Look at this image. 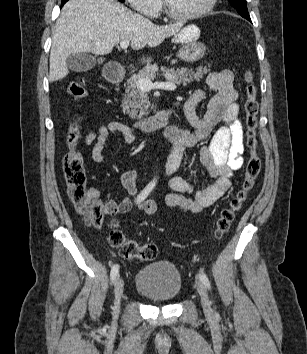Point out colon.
<instances>
[{
  "label": "colon",
  "instance_id": "obj_1",
  "mask_svg": "<svg viewBox=\"0 0 307 354\" xmlns=\"http://www.w3.org/2000/svg\"><path fill=\"white\" fill-rule=\"evenodd\" d=\"M246 80L247 87L244 109L249 157L245 165V177L241 189L231 200L229 206L221 211L220 217L216 222L215 235L217 238L223 237L230 229L236 213L241 209L248 194L253 189L261 168V161L257 154L256 139L259 110L257 87L253 82V76L250 72L246 74ZM68 94L74 101H79L87 97L83 78L77 77L70 83ZM78 138V126L74 123L69 128L67 134L66 141L69 150L62 160L63 173L67 182L68 194L74 208L79 214L85 217L89 225L98 227L103 223L104 217L108 215V207L105 203L95 199L86 187L87 177L83 157L76 148ZM109 225L112 229L108 237L109 244L118 250L122 258L151 261L156 257L157 247L154 244L141 245L134 240L128 239L117 229L118 222L115 219H112Z\"/></svg>",
  "mask_w": 307,
  "mask_h": 354
}]
</instances>
